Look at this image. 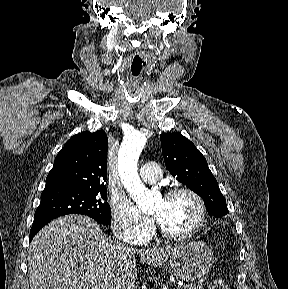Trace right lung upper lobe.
Wrapping results in <instances>:
<instances>
[{
	"instance_id": "obj_1",
	"label": "right lung upper lobe",
	"mask_w": 288,
	"mask_h": 289,
	"mask_svg": "<svg viewBox=\"0 0 288 289\" xmlns=\"http://www.w3.org/2000/svg\"><path fill=\"white\" fill-rule=\"evenodd\" d=\"M107 135L81 132L70 138L55 158L46 178L49 188L106 187Z\"/></svg>"
}]
</instances>
